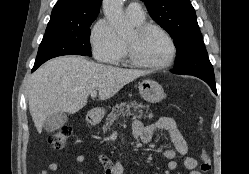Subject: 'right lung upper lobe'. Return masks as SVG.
I'll use <instances>...</instances> for the list:
<instances>
[{"instance_id":"cb5924a9","label":"right lung upper lobe","mask_w":249,"mask_h":174,"mask_svg":"<svg viewBox=\"0 0 249 174\" xmlns=\"http://www.w3.org/2000/svg\"><path fill=\"white\" fill-rule=\"evenodd\" d=\"M102 0H59L51 14L46 31L81 25L95 20Z\"/></svg>"}]
</instances>
